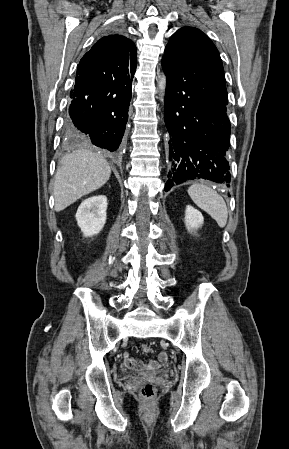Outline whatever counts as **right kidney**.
Masks as SVG:
<instances>
[{
    "label": "right kidney",
    "mask_w": 289,
    "mask_h": 449,
    "mask_svg": "<svg viewBox=\"0 0 289 449\" xmlns=\"http://www.w3.org/2000/svg\"><path fill=\"white\" fill-rule=\"evenodd\" d=\"M107 197L96 195L84 200L76 213L77 224L85 237L98 234L104 227L107 215Z\"/></svg>",
    "instance_id": "right-kidney-1"
}]
</instances>
